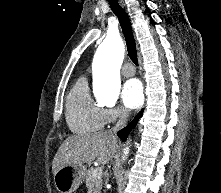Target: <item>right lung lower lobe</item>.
<instances>
[{"label":"right lung lower lobe","instance_id":"98d812e1","mask_svg":"<svg viewBox=\"0 0 221 193\" xmlns=\"http://www.w3.org/2000/svg\"><path fill=\"white\" fill-rule=\"evenodd\" d=\"M143 114V109L135 116V118L122 130H120L117 134L122 141H124L131 131V129L137 124L138 120Z\"/></svg>","mask_w":221,"mask_h":193}]
</instances>
